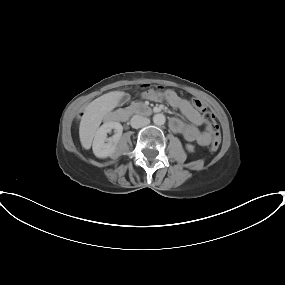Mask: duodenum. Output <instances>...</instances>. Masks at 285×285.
I'll return each mask as SVG.
<instances>
[{
    "mask_svg": "<svg viewBox=\"0 0 285 285\" xmlns=\"http://www.w3.org/2000/svg\"><path fill=\"white\" fill-rule=\"evenodd\" d=\"M129 113H136V114H141V115H149L152 113V109L144 106V105H139V106H134L129 110ZM126 116V112H118L114 115V119L117 121H123Z\"/></svg>",
    "mask_w": 285,
    "mask_h": 285,
    "instance_id": "obj_1",
    "label": "duodenum"
}]
</instances>
